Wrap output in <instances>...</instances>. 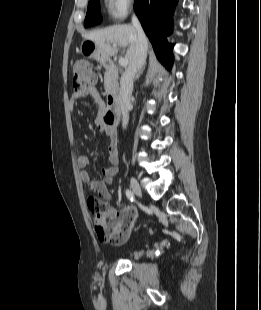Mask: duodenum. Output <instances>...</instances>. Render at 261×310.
Returning <instances> with one entry per match:
<instances>
[{
	"label": "duodenum",
	"mask_w": 261,
	"mask_h": 310,
	"mask_svg": "<svg viewBox=\"0 0 261 310\" xmlns=\"http://www.w3.org/2000/svg\"><path fill=\"white\" fill-rule=\"evenodd\" d=\"M104 65L111 74L117 73V67L111 60H105ZM117 103H118L117 96L115 94H110L107 98V103L103 117V122L110 129H113L118 122L119 109Z\"/></svg>",
	"instance_id": "duodenum-1"
}]
</instances>
